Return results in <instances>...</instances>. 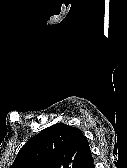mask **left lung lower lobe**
I'll use <instances>...</instances> for the list:
<instances>
[{"mask_svg": "<svg viewBox=\"0 0 127 168\" xmlns=\"http://www.w3.org/2000/svg\"><path fill=\"white\" fill-rule=\"evenodd\" d=\"M79 168H95L89 144L84 152Z\"/></svg>", "mask_w": 127, "mask_h": 168, "instance_id": "0a47b994", "label": "left lung lower lobe"}]
</instances>
